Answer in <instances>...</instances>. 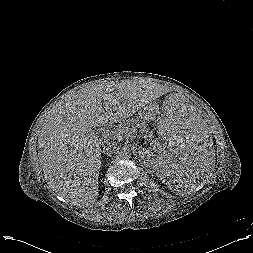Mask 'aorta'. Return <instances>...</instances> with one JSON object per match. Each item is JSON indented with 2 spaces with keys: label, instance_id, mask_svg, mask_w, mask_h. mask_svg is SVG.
Returning a JSON list of instances; mask_svg holds the SVG:
<instances>
[{
  "label": "aorta",
  "instance_id": "obj_1",
  "mask_svg": "<svg viewBox=\"0 0 253 253\" xmlns=\"http://www.w3.org/2000/svg\"><path fill=\"white\" fill-rule=\"evenodd\" d=\"M118 156L122 159H128L131 156V150L128 147H121L118 151Z\"/></svg>",
  "mask_w": 253,
  "mask_h": 253
}]
</instances>
